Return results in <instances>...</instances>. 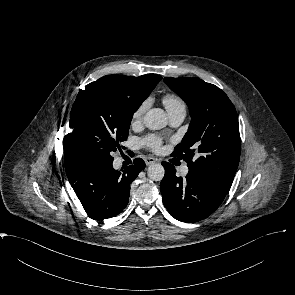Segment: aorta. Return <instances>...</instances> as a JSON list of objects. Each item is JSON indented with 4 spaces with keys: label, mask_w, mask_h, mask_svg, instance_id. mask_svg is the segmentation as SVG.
Returning <instances> with one entry per match:
<instances>
[{
    "label": "aorta",
    "mask_w": 295,
    "mask_h": 295,
    "mask_svg": "<svg viewBox=\"0 0 295 295\" xmlns=\"http://www.w3.org/2000/svg\"><path fill=\"white\" fill-rule=\"evenodd\" d=\"M144 124L151 130L164 128L167 125V116L164 110L160 108L150 109L144 116ZM147 174L151 180L161 181L164 177L165 170L161 164L155 163L148 167Z\"/></svg>",
    "instance_id": "1"
}]
</instances>
